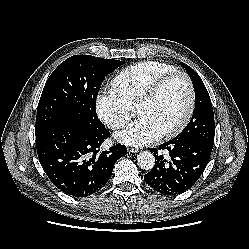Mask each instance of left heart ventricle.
Listing matches in <instances>:
<instances>
[{
    "label": "left heart ventricle",
    "mask_w": 249,
    "mask_h": 249,
    "mask_svg": "<svg viewBox=\"0 0 249 249\" xmlns=\"http://www.w3.org/2000/svg\"><path fill=\"white\" fill-rule=\"evenodd\" d=\"M188 106V90L181 77L170 79L151 102L137 106L139 116L155 121L163 132L176 126Z\"/></svg>",
    "instance_id": "1"
}]
</instances>
